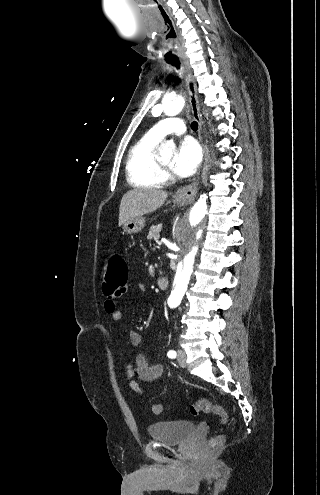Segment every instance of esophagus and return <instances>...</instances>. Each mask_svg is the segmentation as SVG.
Wrapping results in <instances>:
<instances>
[{
  "label": "esophagus",
  "mask_w": 320,
  "mask_h": 495,
  "mask_svg": "<svg viewBox=\"0 0 320 495\" xmlns=\"http://www.w3.org/2000/svg\"><path fill=\"white\" fill-rule=\"evenodd\" d=\"M183 68L185 72V80L187 84V89H188V94H189V102L191 105L192 113L194 117L198 120V132H199V140L202 144L203 147V152L204 155L206 156V146L203 142V139L201 137V129H202V119H201V114L199 110V103H198V97H197V86L195 82V78L192 74V70L190 68V65L188 61L183 60ZM198 181H194L193 183L183 186L180 189L177 190L175 194V198L179 201L183 202H188L194 199L196 193H197V188H198Z\"/></svg>",
  "instance_id": "1"
}]
</instances>
